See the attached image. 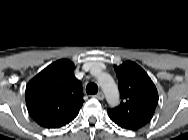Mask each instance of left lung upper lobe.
I'll use <instances>...</instances> for the list:
<instances>
[{
  "mask_svg": "<svg viewBox=\"0 0 188 140\" xmlns=\"http://www.w3.org/2000/svg\"><path fill=\"white\" fill-rule=\"evenodd\" d=\"M114 68L122 101L118 107L108 109L109 117L122 128H142L152 119L158 104L155 85L147 73L134 62L127 61Z\"/></svg>",
  "mask_w": 188,
  "mask_h": 140,
  "instance_id": "1",
  "label": "left lung upper lobe"
}]
</instances>
